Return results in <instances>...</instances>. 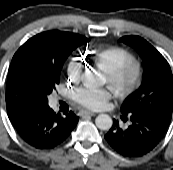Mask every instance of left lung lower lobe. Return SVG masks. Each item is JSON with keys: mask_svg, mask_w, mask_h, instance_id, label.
Returning a JSON list of instances; mask_svg holds the SVG:
<instances>
[{"mask_svg": "<svg viewBox=\"0 0 173 170\" xmlns=\"http://www.w3.org/2000/svg\"><path fill=\"white\" fill-rule=\"evenodd\" d=\"M127 116L130 120L127 128H121L114 119L112 128L105 134L107 143L124 156L139 157L150 152L169 127V123L152 115L129 113L121 117L126 120Z\"/></svg>", "mask_w": 173, "mask_h": 170, "instance_id": "left-lung-lower-lobe-1", "label": "left lung lower lobe"}]
</instances>
